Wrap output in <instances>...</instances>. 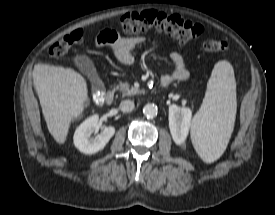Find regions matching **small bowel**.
<instances>
[{"label":"small bowel","instance_id":"c3829d8e","mask_svg":"<svg viewBox=\"0 0 275 215\" xmlns=\"http://www.w3.org/2000/svg\"><path fill=\"white\" fill-rule=\"evenodd\" d=\"M145 39L142 36L122 37L110 29H104L96 39L97 45H109L115 52L119 61L130 65L135 62L134 50L143 44ZM170 59L174 65L172 73L164 74L161 78L163 85H169L173 81H185L189 77L182 55L173 52Z\"/></svg>","mask_w":275,"mask_h":215}]
</instances>
